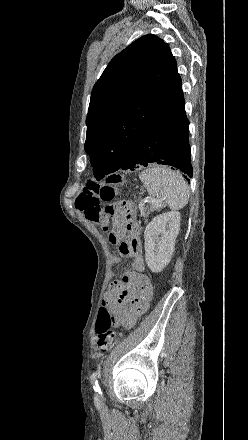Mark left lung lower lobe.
Instances as JSON below:
<instances>
[{
	"mask_svg": "<svg viewBox=\"0 0 248 440\" xmlns=\"http://www.w3.org/2000/svg\"><path fill=\"white\" fill-rule=\"evenodd\" d=\"M149 163L170 165L185 173L187 180L192 177L184 98L135 141L117 170H134Z\"/></svg>",
	"mask_w": 248,
	"mask_h": 440,
	"instance_id": "obj_1",
	"label": "left lung lower lobe"
}]
</instances>
